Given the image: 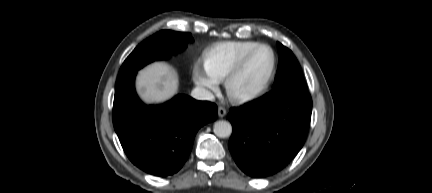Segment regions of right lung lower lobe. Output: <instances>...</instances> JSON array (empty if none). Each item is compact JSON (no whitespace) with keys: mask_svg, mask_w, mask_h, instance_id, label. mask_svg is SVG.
Instances as JSON below:
<instances>
[{"mask_svg":"<svg viewBox=\"0 0 432 193\" xmlns=\"http://www.w3.org/2000/svg\"><path fill=\"white\" fill-rule=\"evenodd\" d=\"M135 76L133 72L116 82L114 129L134 165L156 176L174 174L187 160L199 128L217 118V106L183 94L147 106L135 92Z\"/></svg>","mask_w":432,"mask_h":193,"instance_id":"1","label":"right lung lower lobe"}]
</instances>
